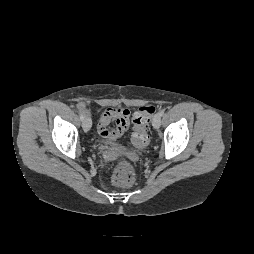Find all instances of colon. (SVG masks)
I'll return each instance as SVG.
<instances>
[{
    "label": "colon",
    "mask_w": 254,
    "mask_h": 254,
    "mask_svg": "<svg viewBox=\"0 0 254 254\" xmlns=\"http://www.w3.org/2000/svg\"><path fill=\"white\" fill-rule=\"evenodd\" d=\"M156 109L153 106H143L138 108L132 118L133 134L132 143L136 147H144L148 144L150 136V120ZM135 169L125 163H118L112 170L111 178L113 182L120 186H129L135 179Z\"/></svg>",
    "instance_id": "5ec220e1"
}]
</instances>
